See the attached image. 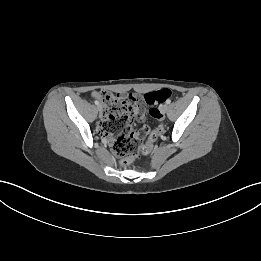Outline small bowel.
<instances>
[{"mask_svg": "<svg viewBox=\"0 0 261 261\" xmlns=\"http://www.w3.org/2000/svg\"><path fill=\"white\" fill-rule=\"evenodd\" d=\"M131 97L135 99V108L133 110V117L136 118L138 121H144L146 118V115H145V111H144L143 101L139 98L138 95H132ZM149 135H150V128L147 125H144L141 128L139 137L142 140H145Z\"/></svg>", "mask_w": 261, "mask_h": 261, "instance_id": "small-bowel-1", "label": "small bowel"}]
</instances>
